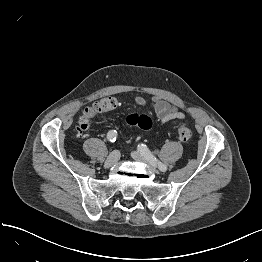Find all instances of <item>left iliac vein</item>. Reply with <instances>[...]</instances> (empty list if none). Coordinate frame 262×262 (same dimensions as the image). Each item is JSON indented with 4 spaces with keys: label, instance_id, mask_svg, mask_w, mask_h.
<instances>
[{
    "label": "left iliac vein",
    "instance_id": "obj_1",
    "mask_svg": "<svg viewBox=\"0 0 262 262\" xmlns=\"http://www.w3.org/2000/svg\"><path fill=\"white\" fill-rule=\"evenodd\" d=\"M131 156L134 160L145 164L148 168H150L152 171L156 172L157 169L154 165H152L140 152L134 151L131 153Z\"/></svg>",
    "mask_w": 262,
    "mask_h": 262
}]
</instances>
